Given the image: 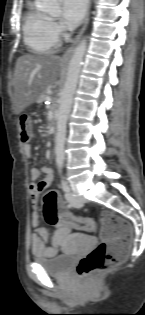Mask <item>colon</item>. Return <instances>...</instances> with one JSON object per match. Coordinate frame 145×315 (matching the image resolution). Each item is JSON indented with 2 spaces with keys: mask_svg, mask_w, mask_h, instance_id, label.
I'll use <instances>...</instances> for the list:
<instances>
[{
  "mask_svg": "<svg viewBox=\"0 0 145 315\" xmlns=\"http://www.w3.org/2000/svg\"><path fill=\"white\" fill-rule=\"evenodd\" d=\"M21 139L28 144L32 138V119L23 114L19 119ZM44 218L55 225L63 222L78 230L91 231L94 222L90 219L74 216L55 191H47L43 200ZM101 242L88 255L80 260L77 274L84 281H91L103 272L113 269L123 261L128 253L132 239V228L128 221L113 212L101 215Z\"/></svg>",
  "mask_w": 145,
  "mask_h": 315,
  "instance_id": "5ec220e1",
  "label": "colon"
}]
</instances>
